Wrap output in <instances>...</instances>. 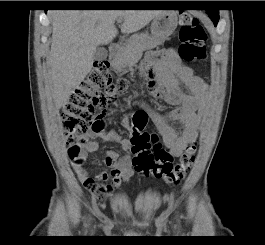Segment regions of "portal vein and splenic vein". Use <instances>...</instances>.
Masks as SVG:
<instances>
[{
    "mask_svg": "<svg viewBox=\"0 0 265 245\" xmlns=\"http://www.w3.org/2000/svg\"><path fill=\"white\" fill-rule=\"evenodd\" d=\"M117 23H122V19H117Z\"/></svg>",
    "mask_w": 265,
    "mask_h": 245,
    "instance_id": "1",
    "label": "portal vein and splenic vein"
}]
</instances>
